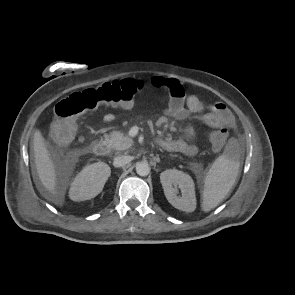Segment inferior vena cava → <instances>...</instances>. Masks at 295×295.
I'll return each instance as SVG.
<instances>
[{"label":"inferior vena cava","instance_id":"obj_1","mask_svg":"<svg viewBox=\"0 0 295 295\" xmlns=\"http://www.w3.org/2000/svg\"><path fill=\"white\" fill-rule=\"evenodd\" d=\"M132 160L131 156L121 155L114 158L113 165L115 167H123Z\"/></svg>","mask_w":295,"mask_h":295}]
</instances>
